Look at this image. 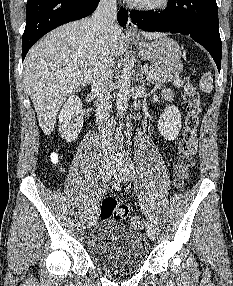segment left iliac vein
Segmentation results:
<instances>
[{"label": "left iliac vein", "instance_id": "1", "mask_svg": "<svg viewBox=\"0 0 233 286\" xmlns=\"http://www.w3.org/2000/svg\"><path fill=\"white\" fill-rule=\"evenodd\" d=\"M111 174H113V176L120 182H127L129 180L130 172L120 155H118L116 158V162L112 167ZM146 231L150 240H155L156 230L151 222L147 224Z\"/></svg>", "mask_w": 233, "mask_h": 286}]
</instances>
